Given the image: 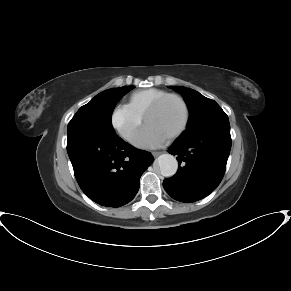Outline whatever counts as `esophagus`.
<instances>
[{
    "label": "esophagus",
    "instance_id": "obj_1",
    "mask_svg": "<svg viewBox=\"0 0 291 291\" xmlns=\"http://www.w3.org/2000/svg\"><path fill=\"white\" fill-rule=\"evenodd\" d=\"M162 153H163L162 151H155L152 154H153L154 157H157V156H159Z\"/></svg>",
    "mask_w": 291,
    "mask_h": 291
}]
</instances>
